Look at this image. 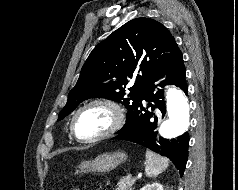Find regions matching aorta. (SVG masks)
<instances>
[{
    "mask_svg": "<svg viewBox=\"0 0 238 190\" xmlns=\"http://www.w3.org/2000/svg\"><path fill=\"white\" fill-rule=\"evenodd\" d=\"M168 118L159 128L163 138L172 139L184 133L189 126L190 103L185 93L178 88H168L166 92Z\"/></svg>",
    "mask_w": 238,
    "mask_h": 190,
    "instance_id": "762f6f07",
    "label": "aorta"
}]
</instances>
